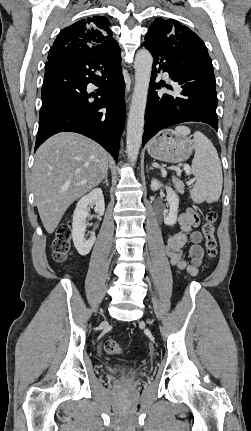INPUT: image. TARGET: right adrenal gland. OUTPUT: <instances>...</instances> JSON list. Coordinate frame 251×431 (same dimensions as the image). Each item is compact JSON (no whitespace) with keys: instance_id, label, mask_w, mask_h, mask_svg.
<instances>
[{"instance_id":"right-adrenal-gland-1","label":"right adrenal gland","mask_w":251,"mask_h":431,"mask_svg":"<svg viewBox=\"0 0 251 431\" xmlns=\"http://www.w3.org/2000/svg\"><path fill=\"white\" fill-rule=\"evenodd\" d=\"M102 184H106V186H109V182H108V174L105 175L104 181L102 182Z\"/></svg>"}]
</instances>
